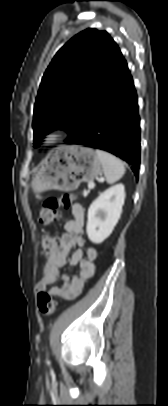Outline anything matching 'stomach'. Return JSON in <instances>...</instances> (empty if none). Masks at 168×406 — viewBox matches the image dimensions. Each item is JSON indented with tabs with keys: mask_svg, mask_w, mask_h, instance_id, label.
I'll use <instances>...</instances> for the list:
<instances>
[{
	"mask_svg": "<svg viewBox=\"0 0 168 406\" xmlns=\"http://www.w3.org/2000/svg\"><path fill=\"white\" fill-rule=\"evenodd\" d=\"M102 172L96 152L87 147L69 145L59 147L34 176V192L46 190L73 191L81 182H92Z\"/></svg>",
	"mask_w": 168,
	"mask_h": 406,
	"instance_id": "0dacf381",
	"label": "stomach"
}]
</instances>
